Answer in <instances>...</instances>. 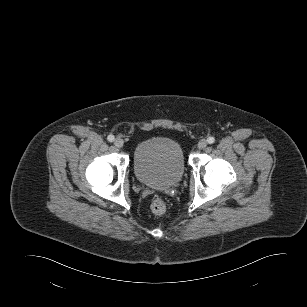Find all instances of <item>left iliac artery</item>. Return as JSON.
Here are the masks:
<instances>
[{
  "instance_id": "44dca946",
  "label": "left iliac artery",
  "mask_w": 307,
  "mask_h": 307,
  "mask_svg": "<svg viewBox=\"0 0 307 307\" xmlns=\"http://www.w3.org/2000/svg\"><path fill=\"white\" fill-rule=\"evenodd\" d=\"M207 142H208L209 144H213V143L215 142V138H214V137H208V138H207Z\"/></svg>"
}]
</instances>
